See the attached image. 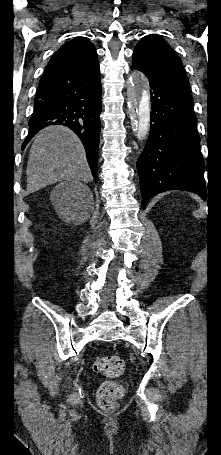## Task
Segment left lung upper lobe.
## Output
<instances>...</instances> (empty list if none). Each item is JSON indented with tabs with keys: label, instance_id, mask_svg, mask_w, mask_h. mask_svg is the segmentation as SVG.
<instances>
[{
	"label": "left lung upper lobe",
	"instance_id": "5c2ea615",
	"mask_svg": "<svg viewBox=\"0 0 221 455\" xmlns=\"http://www.w3.org/2000/svg\"><path fill=\"white\" fill-rule=\"evenodd\" d=\"M132 67L191 96L182 62L171 47L155 34L144 37L133 51Z\"/></svg>",
	"mask_w": 221,
	"mask_h": 455
}]
</instances>
